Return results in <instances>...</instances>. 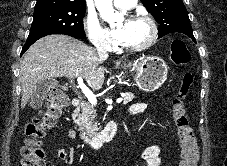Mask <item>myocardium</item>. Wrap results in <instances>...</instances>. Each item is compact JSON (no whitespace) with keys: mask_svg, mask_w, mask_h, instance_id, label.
<instances>
[{"mask_svg":"<svg viewBox=\"0 0 227 166\" xmlns=\"http://www.w3.org/2000/svg\"><path fill=\"white\" fill-rule=\"evenodd\" d=\"M133 20L144 21L148 25L149 36L143 43L131 45V46L124 45L123 47L128 51H133V52L143 51L149 48L155 42L158 36V27L154 19L148 14L143 12L134 14Z\"/></svg>","mask_w":227,"mask_h":166,"instance_id":"myocardium-1","label":"myocardium"}]
</instances>
